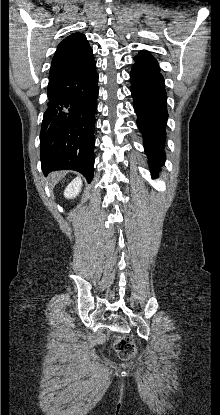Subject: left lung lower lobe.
Instances as JSON below:
<instances>
[{"mask_svg": "<svg viewBox=\"0 0 220 415\" xmlns=\"http://www.w3.org/2000/svg\"><path fill=\"white\" fill-rule=\"evenodd\" d=\"M130 72L133 106L137 126L144 135L145 152L152 174L165 161V126L168 118L164 78L157 60L149 55H136Z\"/></svg>", "mask_w": 220, "mask_h": 415, "instance_id": "left-lung-lower-lobe-1", "label": "left lung lower lobe"}]
</instances>
